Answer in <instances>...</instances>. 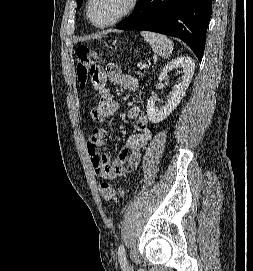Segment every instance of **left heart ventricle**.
I'll return each mask as SVG.
<instances>
[{"label": "left heart ventricle", "instance_id": "obj_1", "mask_svg": "<svg viewBox=\"0 0 253 271\" xmlns=\"http://www.w3.org/2000/svg\"><path fill=\"white\" fill-rule=\"evenodd\" d=\"M129 0H93L91 5V15L98 24H105L119 14L127 7Z\"/></svg>", "mask_w": 253, "mask_h": 271}]
</instances>
